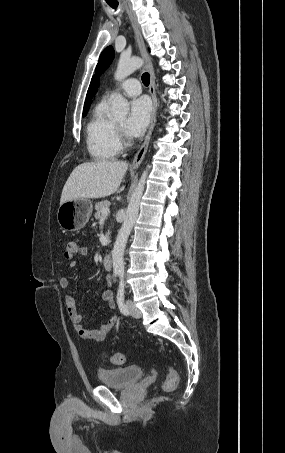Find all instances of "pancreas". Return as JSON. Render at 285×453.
Listing matches in <instances>:
<instances>
[{
	"label": "pancreas",
	"instance_id": "cf45deb5",
	"mask_svg": "<svg viewBox=\"0 0 285 453\" xmlns=\"http://www.w3.org/2000/svg\"><path fill=\"white\" fill-rule=\"evenodd\" d=\"M109 207H110V202L107 200L96 203L95 204V210H96L95 218L99 219L102 215V211L105 209H109Z\"/></svg>",
	"mask_w": 285,
	"mask_h": 453
}]
</instances>
